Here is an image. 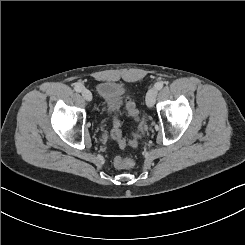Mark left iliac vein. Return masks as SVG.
I'll return each instance as SVG.
<instances>
[{
    "label": "left iliac vein",
    "instance_id": "left-iliac-vein-1",
    "mask_svg": "<svg viewBox=\"0 0 245 245\" xmlns=\"http://www.w3.org/2000/svg\"><path fill=\"white\" fill-rule=\"evenodd\" d=\"M156 97H157V89L156 88H151L146 97V105L147 107L151 108L155 105L156 102Z\"/></svg>",
    "mask_w": 245,
    "mask_h": 245
}]
</instances>
